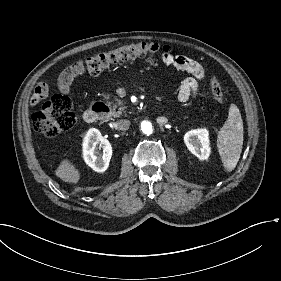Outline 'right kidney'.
I'll return each mask as SVG.
<instances>
[{"mask_svg": "<svg viewBox=\"0 0 281 281\" xmlns=\"http://www.w3.org/2000/svg\"><path fill=\"white\" fill-rule=\"evenodd\" d=\"M101 149H103L102 154H100ZM83 151L85 162L95 171L104 173L108 169L112 145L97 129L92 128L85 135Z\"/></svg>", "mask_w": 281, "mask_h": 281, "instance_id": "ca27d5eb", "label": "right kidney"}]
</instances>
